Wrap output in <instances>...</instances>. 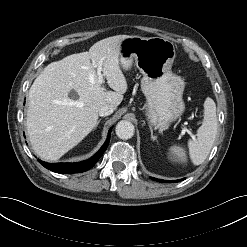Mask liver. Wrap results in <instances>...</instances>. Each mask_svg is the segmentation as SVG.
<instances>
[{
  "instance_id": "liver-1",
  "label": "liver",
  "mask_w": 247,
  "mask_h": 247,
  "mask_svg": "<svg viewBox=\"0 0 247 247\" xmlns=\"http://www.w3.org/2000/svg\"><path fill=\"white\" fill-rule=\"evenodd\" d=\"M127 35L96 42L88 52L52 62L29 90L27 133L37 156L56 161L80 143L95 127L102 105L116 109L127 91L120 68V43ZM101 67L111 89L98 83L95 68ZM75 91L77 99L69 97Z\"/></svg>"
}]
</instances>
